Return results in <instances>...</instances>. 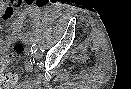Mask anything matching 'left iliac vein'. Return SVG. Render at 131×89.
Segmentation results:
<instances>
[{
	"label": "left iliac vein",
	"mask_w": 131,
	"mask_h": 89,
	"mask_svg": "<svg viewBox=\"0 0 131 89\" xmlns=\"http://www.w3.org/2000/svg\"><path fill=\"white\" fill-rule=\"evenodd\" d=\"M41 54H42L41 52H38V53L36 54V56L39 57Z\"/></svg>",
	"instance_id": "1"
}]
</instances>
